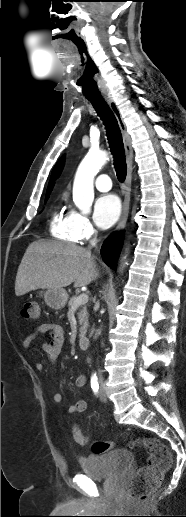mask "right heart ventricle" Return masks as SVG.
Masks as SVG:
<instances>
[{
	"label": "right heart ventricle",
	"instance_id": "right-heart-ventricle-1",
	"mask_svg": "<svg viewBox=\"0 0 186 517\" xmlns=\"http://www.w3.org/2000/svg\"><path fill=\"white\" fill-rule=\"evenodd\" d=\"M50 233L53 237L68 243L78 241L70 215L64 209H57L53 212L50 220Z\"/></svg>",
	"mask_w": 186,
	"mask_h": 517
}]
</instances>
